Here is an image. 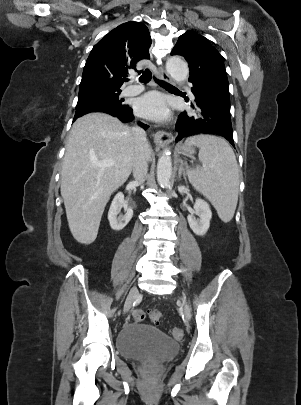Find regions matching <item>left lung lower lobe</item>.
Wrapping results in <instances>:
<instances>
[{
	"label": "left lung lower lobe",
	"mask_w": 301,
	"mask_h": 405,
	"mask_svg": "<svg viewBox=\"0 0 301 405\" xmlns=\"http://www.w3.org/2000/svg\"><path fill=\"white\" fill-rule=\"evenodd\" d=\"M192 93L196 101V113L183 112L178 117L176 141L184 137L211 134L224 137L233 147V132L230 119V103L212 97L197 85H193Z\"/></svg>",
	"instance_id": "0a47b994"
}]
</instances>
